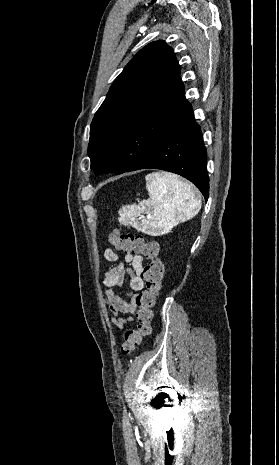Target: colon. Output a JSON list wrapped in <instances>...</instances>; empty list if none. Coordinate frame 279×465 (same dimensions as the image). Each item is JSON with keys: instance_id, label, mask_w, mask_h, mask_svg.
<instances>
[{"instance_id": "1", "label": "colon", "mask_w": 279, "mask_h": 465, "mask_svg": "<svg viewBox=\"0 0 279 465\" xmlns=\"http://www.w3.org/2000/svg\"><path fill=\"white\" fill-rule=\"evenodd\" d=\"M108 240L117 249L143 255L148 260L142 271L146 289L135 297L139 324L136 329H128L123 334L121 352L123 355H129L141 343L142 339L151 333L152 309L161 288L164 266L159 257V245L156 242L146 241L141 235L122 233L118 228H115L108 234Z\"/></svg>"}]
</instances>
